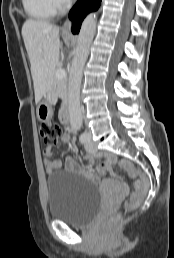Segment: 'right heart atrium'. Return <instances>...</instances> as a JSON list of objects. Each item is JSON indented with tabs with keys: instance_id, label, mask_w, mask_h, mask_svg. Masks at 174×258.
<instances>
[{
	"instance_id": "1",
	"label": "right heart atrium",
	"mask_w": 174,
	"mask_h": 258,
	"mask_svg": "<svg viewBox=\"0 0 174 258\" xmlns=\"http://www.w3.org/2000/svg\"><path fill=\"white\" fill-rule=\"evenodd\" d=\"M56 9H63L69 2V0H52Z\"/></svg>"
}]
</instances>
